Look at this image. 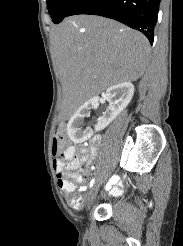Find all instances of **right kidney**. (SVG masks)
<instances>
[{
  "instance_id": "1",
  "label": "right kidney",
  "mask_w": 183,
  "mask_h": 246,
  "mask_svg": "<svg viewBox=\"0 0 183 246\" xmlns=\"http://www.w3.org/2000/svg\"><path fill=\"white\" fill-rule=\"evenodd\" d=\"M133 94L134 86L131 82H123L109 87L104 95V98L109 102V106L95 126V131L107 127L127 107ZM98 101V97L86 101L69 120L67 132L73 142L80 143L91 136L88 130H82L83 119L88 115L89 110L96 106Z\"/></svg>"
}]
</instances>
